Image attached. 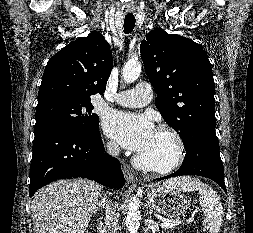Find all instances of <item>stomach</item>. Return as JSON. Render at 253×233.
Listing matches in <instances>:
<instances>
[{
    "mask_svg": "<svg viewBox=\"0 0 253 233\" xmlns=\"http://www.w3.org/2000/svg\"><path fill=\"white\" fill-rule=\"evenodd\" d=\"M147 197L152 208L168 218H179L189 208V201L178 190L165 185L152 184L147 188Z\"/></svg>",
    "mask_w": 253,
    "mask_h": 233,
    "instance_id": "stomach-1",
    "label": "stomach"
}]
</instances>
